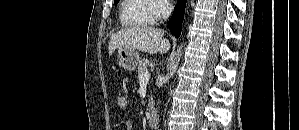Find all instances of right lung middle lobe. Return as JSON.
<instances>
[{"mask_svg": "<svg viewBox=\"0 0 299 130\" xmlns=\"http://www.w3.org/2000/svg\"><path fill=\"white\" fill-rule=\"evenodd\" d=\"M118 2H119V0H118V1H116V2H114V4L116 5Z\"/></svg>", "mask_w": 299, "mask_h": 130, "instance_id": "1", "label": "right lung middle lobe"}]
</instances>
